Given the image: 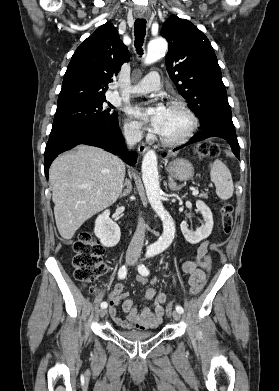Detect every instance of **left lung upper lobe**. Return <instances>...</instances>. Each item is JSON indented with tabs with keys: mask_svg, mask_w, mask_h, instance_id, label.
<instances>
[{
	"mask_svg": "<svg viewBox=\"0 0 279 391\" xmlns=\"http://www.w3.org/2000/svg\"><path fill=\"white\" fill-rule=\"evenodd\" d=\"M161 36L169 43L167 72L200 120V129L235 130L217 57L207 37L190 21L171 15Z\"/></svg>",
	"mask_w": 279,
	"mask_h": 391,
	"instance_id": "left-lung-upper-lobe-1",
	"label": "left lung upper lobe"
}]
</instances>
